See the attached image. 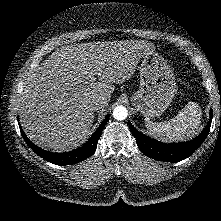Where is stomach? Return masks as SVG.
<instances>
[{
	"mask_svg": "<svg viewBox=\"0 0 221 221\" xmlns=\"http://www.w3.org/2000/svg\"><path fill=\"white\" fill-rule=\"evenodd\" d=\"M139 72L140 87L131 103L146 118L160 116L177 93L172 68L154 51L143 56Z\"/></svg>",
	"mask_w": 221,
	"mask_h": 221,
	"instance_id": "stomach-1",
	"label": "stomach"
}]
</instances>
